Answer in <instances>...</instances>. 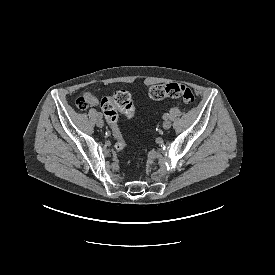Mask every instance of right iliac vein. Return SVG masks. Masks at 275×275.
<instances>
[{"mask_svg": "<svg viewBox=\"0 0 275 275\" xmlns=\"http://www.w3.org/2000/svg\"><path fill=\"white\" fill-rule=\"evenodd\" d=\"M96 124L98 127H103L104 126V121L102 120V118H98L96 121Z\"/></svg>", "mask_w": 275, "mask_h": 275, "instance_id": "63e3f726", "label": "right iliac vein"}]
</instances>
